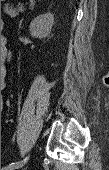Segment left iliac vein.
Here are the masks:
<instances>
[{"instance_id":"obj_1","label":"left iliac vein","mask_w":109,"mask_h":170,"mask_svg":"<svg viewBox=\"0 0 109 170\" xmlns=\"http://www.w3.org/2000/svg\"><path fill=\"white\" fill-rule=\"evenodd\" d=\"M19 167H14V166H6V170H15Z\"/></svg>"}]
</instances>
